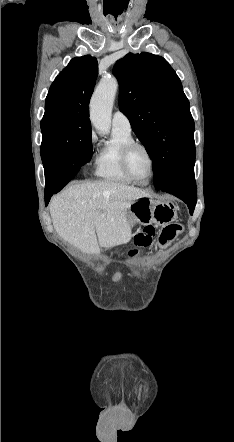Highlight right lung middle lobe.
<instances>
[{
  "label": "right lung middle lobe",
  "instance_id": "right-lung-middle-lobe-1",
  "mask_svg": "<svg viewBox=\"0 0 234 442\" xmlns=\"http://www.w3.org/2000/svg\"><path fill=\"white\" fill-rule=\"evenodd\" d=\"M41 158L47 160L68 155L79 166L93 154L91 126L74 117L57 116L41 121Z\"/></svg>",
  "mask_w": 234,
  "mask_h": 442
}]
</instances>
